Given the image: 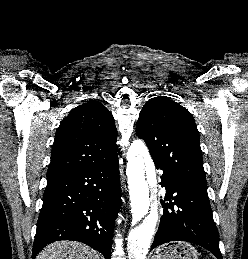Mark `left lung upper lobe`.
<instances>
[{"label":"left lung upper lobe","mask_w":248,"mask_h":259,"mask_svg":"<svg viewBox=\"0 0 248 259\" xmlns=\"http://www.w3.org/2000/svg\"><path fill=\"white\" fill-rule=\"evenodd\" d=\"M155 165L190 188L207 191L199 132L190 112L163 96L143 106L136 126Z\"/></svg>","instance_id":"left-lung-upper-lobe-1"}]
</instances>
